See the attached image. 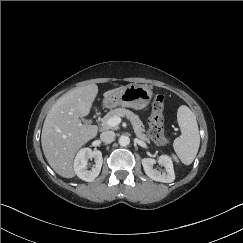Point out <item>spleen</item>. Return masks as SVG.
Here are the masks:
<instances>
[{"label":"spleen","mask_w":243,"mask_h":243,"mask_svg":"<svg viewBox=\"0 0 243 243\" xmlns=\"http://www.w3.org/2000/svg\"><path fill=\"white\" fill-rule=\"evenodd\" d=\"M177 121L181 129V135L173 142V148L185 165H190L197 155L200 145V135L194 113L185 105H181L177 112ZM173 155V158L177 160Z\"/></svg>","instance_id":"1"}]
</instances>
